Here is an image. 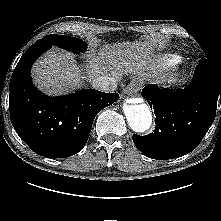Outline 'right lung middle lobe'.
Returning <instances> with one entry per match:
<instances>
[{
	"instance_id": "dd1d6c3e",
	"label": "right lung middle lobe",
	"mask_w": 221,
	"mask_h": 221,
	"mask_svg": "<svg viewBox=\"0 0 221 221\" xmlns=\"http://www.w3.org/2000/svg\"><path fill=\"white\" fill-rule=\"evenodd\" d=\"M39 41L48 42L52 46H58L60 48H63V49H66L75 53L85 51L86 46H87V44L84 41L76 37L56 35V34L45 36L43 39Z\"/></svg>"
}]
</instances>
